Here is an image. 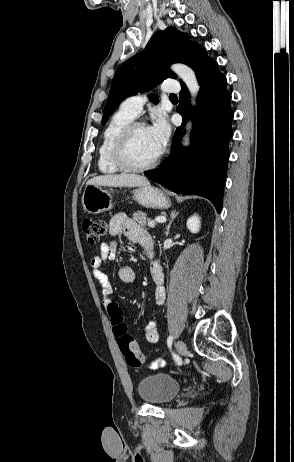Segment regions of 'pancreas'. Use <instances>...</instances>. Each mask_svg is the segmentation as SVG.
<instances>
[{
	"instance_id": "obj_1",
	"label": "pancreas",
	"mask_w": 294,
	"mask_h": 462,
	"mask_svg": "<svg viewBox=\"0 0 294 462\" xmlns=\"http://www.w3.org/2000/svg\"><path fill=\"white\" fill-rule=\"evenodd\" d=\"M133 219L143 227H155L156 223L150 224V218L142 211H137L133 213Z\"/></svg>"
}]
</instances>
